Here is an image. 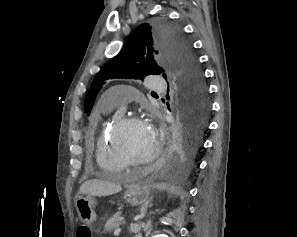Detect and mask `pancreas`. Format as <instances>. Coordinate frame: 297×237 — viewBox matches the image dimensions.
<instances>
[{"label":"pancreas","instance_id":"pancreas-1","mask_svg":"<svg viewBox=\"0 0 297 237\" xmlns=\"http://www.w3.org/2000/svg\"><path fill=\"white\" fill-rule=\"evenodd\" d=\"M121 213L118 212L109 218L105 224L104 231L112 232L114 229L120 226Z\"/></svg>","mask_w":297,"mask_h":237}]
</instances>
